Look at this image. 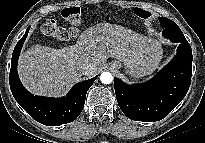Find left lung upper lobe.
<instances>
[{
	"label": "left lung upper lobe",
	"mask_w": 205,
	"mask_h": 143,
	"mask_svg": "<svg viewBox=\"0 0 205 143\" xmlns=\"http://www.w3.org/2000/svg\"><path fill=\"white\" fill-rule=\"evenodd\" d=\"M159 22H160V25L164 28L165 27L173 28V27L177 26L172 20L165 18V17H160Z\"/></svg>",
	"instance_id": "left-lung-upper-lobe-1"
}]
</instances>
